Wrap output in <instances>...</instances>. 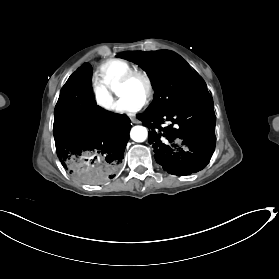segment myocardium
Instances as JSON below:
<instances>
[{"label": "myocardium", "mask_w": 279, "mask_h": 279, "mask_svg": "<svg viewBox=\"0 0 279 279\" xmlns=\"http://www.w3.org/2000/svg\"><path fill=\"white\" fill-rule=\"evenodd\" d=\"M136 80H140L145 85V94H144V102H148L153 95V82L150 76L141 70L132 69L125 73L122 78L119 80L117 85V94L120 88L127 86L133 83Z\"/></svg>", "instance_id": "obj_1"}]
</instances>
